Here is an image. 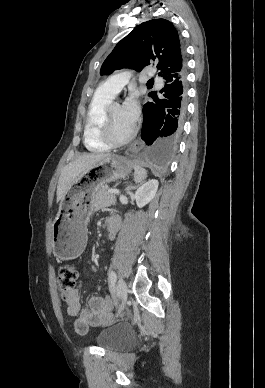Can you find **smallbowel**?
I'll use <instances>...</instances> for the list:
<instances>
[{
	"label": "small bowel",
	"mask_w": 265,
	"mask_h": 388,
	"mask_svg": "<svg viewBox=\"0 0 265 388\" xmlns=\"http://www.w3.org/2000/svg\"><path fill=\"white\" fill-rule=\"evenodd\" d=\"M117 227L114 232L109 233L112 238L118 227L119 219L115 216ZM112 308L105 305L104 299L99 296H91L86 307H82L80 292L77 288L73 289L66 298V312L69 316L75 317L74 329L78 333H85L89 327H97L107 322L111 317Z\"/></svg>",
	"instance_id": "small-bowel-1"
}]
</instances>
